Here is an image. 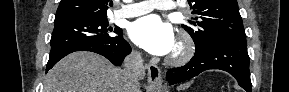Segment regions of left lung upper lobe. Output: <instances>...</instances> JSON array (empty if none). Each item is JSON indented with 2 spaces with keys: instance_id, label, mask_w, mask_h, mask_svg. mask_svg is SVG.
<instances>
[{
  "instance_id": "5c2ea615",
  "label": "left lung upper lobe",
  "mask_w": 289,
  "mask_h": 92,
  "mask_svg": "<svg viewBox=\"0 0 289 92\" xmlns=\"http://www.w3.org/2000/svg\"><path fill=\"white\" fill-rule=\"evenodd\" d=\"M193 14L198 21L182 27L195 42L196 50H203L223 38L245 39L242 18L236 0H191Z\"/></svg>"
}]
</instances>
